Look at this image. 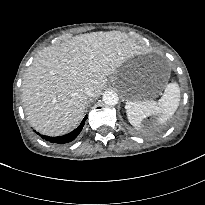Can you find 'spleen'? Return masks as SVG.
I'll list each match as a JSON object with an SVG mask.
<instances>
[{"instance_id":"spleen-1","label":"spleen","mask_w":205,"mask_h":205,"mask_svg":"<svg viewBox=\"0 0 205 205\" xmlns=\"http://www.w3.org/2000/svg\"><path fill=\"white\" fill-rule=\"evenodd\" d=\"M180 102V88L176 82L169 83L158 102L153 100L128 101L125 104L129 122L140 127L144 118L150 115H158L159 122L164 123L177 110Z\"/></svg>"}]
</instances>
